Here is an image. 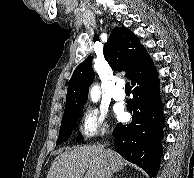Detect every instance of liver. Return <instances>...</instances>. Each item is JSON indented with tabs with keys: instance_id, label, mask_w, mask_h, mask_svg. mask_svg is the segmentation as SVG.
<instances>
[{
	"instance_id": "6515ba94",
	"label": "liver",
	"mask_w": 194,
	"mask_h": 178,
	"mask_svg": "<svg viewBox=\"0 0 194 178\" xmlns=\"http://www.w3.org/2000/svg\"><path fill=\"white\" fill-rule=\"evenodd\" d=\"M112 172L120 171L127 162L115 151L100 145L78 147L59 154L53 161L47 178H102L106 164Z\"/></svg>"
}]
</instances>
